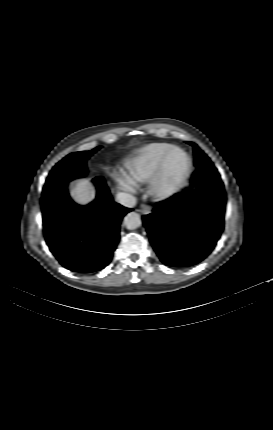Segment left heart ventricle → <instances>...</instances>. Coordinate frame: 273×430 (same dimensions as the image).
<instances>
[{
    "label": "left heart ventricle",
    "mask_w": 273,
    "mask_h": 430,
    "mask_svg": "<svg viewBox=\"0 0 273 430\" xmlns=\"http://www.w3.org/2000/svg\"><path fill=\"white\" fill-rule=\"evenodd\" d=\"M185 166L186 160L180 153L172 154L166 165L165 181L170 183L176 180L184 171Z\"/></svg>",
    "instance_id": "b2bd125f"
}]
</instances>
